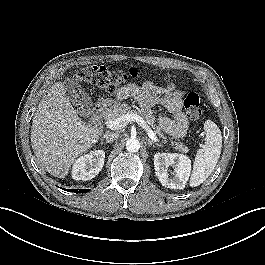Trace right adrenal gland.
Returning a JSON list of instances; mask_svg holds the SVG:
<instances>
[{
	"label": "right adrenal gland",
	"instance_id": "obj_1",
	"mask_svg": "<svg viewBox=\"0 0 265 265\" xmlns=\"http://www.w3.org/2000/svg\"><path fill=\"white\" fill-rule=\"evenodd\" d=\"M106 143H111V141H109V140H107V141H105Z\"/></svg>",
	"mask_w": 265,
	"mask_h": 265
}]
</instances>
